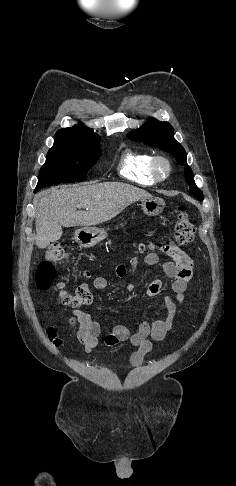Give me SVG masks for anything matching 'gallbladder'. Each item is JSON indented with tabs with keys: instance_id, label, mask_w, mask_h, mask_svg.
<instances>
[{
	"instance_id": "bac80fb5",
	"label": "gallbladder",
	"mask_w": 236,
	"mask_h": 486,
	"mask_svg": "<svg viewBox=\"0 0 236 486\" xmlns=\"http://www.w3.org/2000/svg\"><path fill=\"white\" fill-rule=\"evenodd\" d=\"M45 241L40 244V248L47 247L51 242L57 241L62 235V227L58 223H49L44 230Z\"/></svg>"
}]
</instances>
